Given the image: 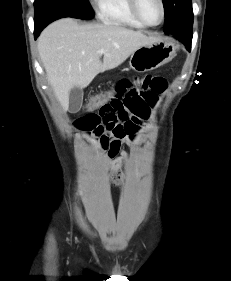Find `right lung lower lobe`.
Here are the masks:
<instances>
[{"mask_svg": "<svg viewBox=\"0 0 231 281\" xmlns=\"http://www.w3.org/2000/svg\"><path fill=\"white\" fill-rule=\"evenodd\" d=\"M73 13L64 7H59L56 5H52L48 7L44 12H42L38 17H35L34 21V35L35 39L38 37L39 33L42 31L44 27H46L49 23L54 20L63 17H72Z\"/></svg>", "mask_w": 231, "mask_h": 281, "instance_id": "1", "label": "right lung lower lobe"}]
</instances>
